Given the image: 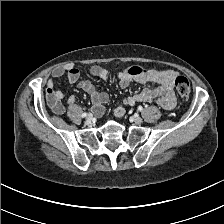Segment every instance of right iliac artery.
Returning a JSON list of instances; mask_svg holds the SVG:
<instances>
[{"instance_id": "1", "label": "right iliac artery", "mask_w": 224, "mask_h": 224, "mask_svg": "<svg viewBox=\"0 0 224 224\" xmlns=\"http://www.w3.org/2000/svg\"><path fill=\"white\" fill-rule=\"evenodd\" d=\"M86 116H87V113L84 112V113L82 114V117H86Z\"/></svg>"}]
</instances>
